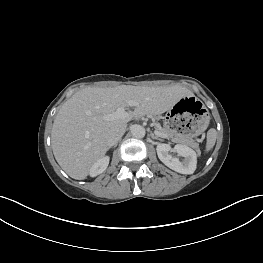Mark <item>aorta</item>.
<instances>
[{"label": "aorta", "mask_w": 263, "mask_h": 263, "mask_svg": "<svg viewBox=\"0 0 263 263\" xmlns=\"http://www.w3.org/2000/svg\"><path fill=\"white\" fill-rule=\"evenodd\" d=\"M131 131V135L134 137V138H143L145 136V128L141 125H133L130 129Z\"/></svg>", "instance_id": "obj_1"}]
</instances>
